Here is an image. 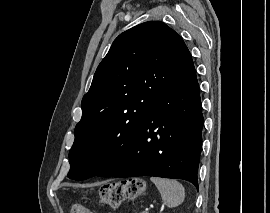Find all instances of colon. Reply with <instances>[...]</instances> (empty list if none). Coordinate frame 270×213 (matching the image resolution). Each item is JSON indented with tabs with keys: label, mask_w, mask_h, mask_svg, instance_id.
<instances>
[{
	"label": "colon",
	"mask_w": 270,
	"mask_h": 213,
	"mask_svg": "<svg viewBox=\"0 0 270 213\" xmlns=\"http://www.w3.org/2000/svg\"><path fill=\"white\" fill-rule=\"evenodd\" d=\"M145 191V183L138 178H129L104 185L101 188L99 203L113 208L119 207L126 200L140 196ZM71 213H93L83 203H74Z\"/></svg>",
	"instance_id": "obj_1"
}]
</instances>
